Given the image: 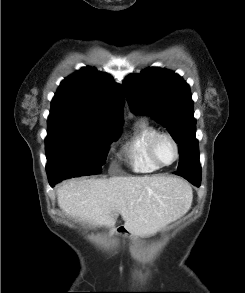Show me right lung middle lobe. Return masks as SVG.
Returning a JSON list of instances; mask_svg holds the SVG:
<instances>
[{
    "label": "right lung middle lobe",
    "mask_w": 245,
    "mask_h": 293,
    "mask_svg": "<svg viewBox=\"0 0 245 293\" xmlns=\"http://www.w3.org/2000/svg\"><path fill=\"white\" fill-rule=\"evenodd\" d=\"M120 130L121 126L108 128L48 120L45 148L49 181L100 173L108 146L118 138Z\"/></svg>",
    "instance_id": "dd1d6c3e"
}]
</instances>
